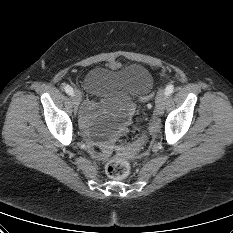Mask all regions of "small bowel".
Returning a JSON list of instances; mask_svg holds the SVG:
<instances>
[{"label":"small bowel","instance_id":"small-bowel-1","mask_svg":"<svg viewBox=\"0 0 233 233\" xmlns=\"http://www.w3.org/2000/svg\"><path fill=\"white\" fill-rule=\"evenodd\" d=\"M96 104L92 101H88L85 103L83 107V116H82V121L84 124L88 125L90 122V118L95 111Z\"/></svg>","mask_w":233,"mask_h":233}]
</instances>
